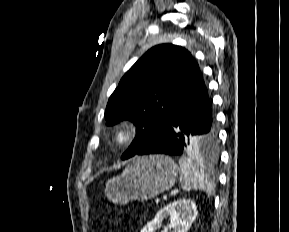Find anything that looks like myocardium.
Instances as JSON below:
<instances>
[{"label": "myocardium", "mask_w": 289, "mask_h": 232, "mask_svg": "<svg viewBox=\"0 0 289 232\" xmlns=\"http://www.w3.org/2000/svg\"><path fill=\"white\" fill-rule=\"evenodd\" d=\"M138 134L137 126L128 120L117 123L113 129L114 139L122 145L132 143Z\"/></svg>", "instance_id": "1"}]
</instances>
